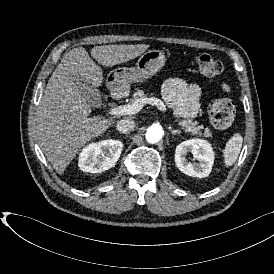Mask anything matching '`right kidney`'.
<instances>
[{
    "instance_id": "obj_1",
    "label": "right kidney",
    "mask_w": 274,
    "mask_h": 274,
    "mask_svg": "<svg viewBox=\"0 0 274 274\" xmlns=\"http://www.w3.org/2000/svg\"><path fill=\"white\" fill-rule=\"evenodd\" d=\"M123 144L117 140H105L86 147L79 158V167L87 173H101L112 168L121 155Z\"/></svg>"
}]
</instances>
